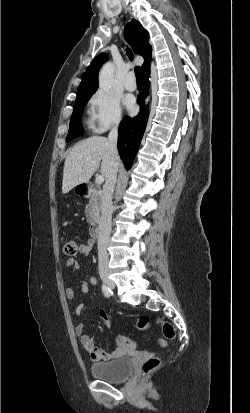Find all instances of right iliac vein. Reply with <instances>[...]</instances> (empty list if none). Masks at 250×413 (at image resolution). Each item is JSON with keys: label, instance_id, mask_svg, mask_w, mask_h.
Instances as JSON below:
<instances>
[{"label": "right iliac vein", "instance_id": "right-iliac-vein-1", "mask_svg": "<svg viewBox=\"0 0 250 413\" xmlns=\"http://www.w3.org/2000/svg\"><path fill=\"white\" fill-rule=\"evenodd\" d=\"M101 278H102V280L109 286V287H111L112 286V283H111V281L108 279V276H107V274L106 273H101Z\"/></svg>", "mask_w": 250, "mask_h": 413}]
</instances>
